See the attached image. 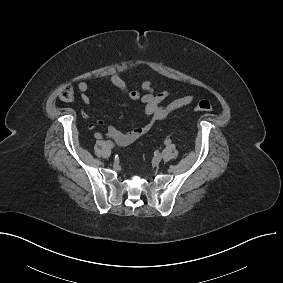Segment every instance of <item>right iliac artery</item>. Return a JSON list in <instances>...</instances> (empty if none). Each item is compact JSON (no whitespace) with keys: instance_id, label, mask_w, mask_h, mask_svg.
Returning <instances> with one entry per match:
<instances>
[{"instance_id":"obj_1","label":"right iliac artery","mask_w":283,"mask_h":283,"mask_svg":"<svg viewBox=\"0 0 283 283\" xmlns=\"http://www.w3.org/2000/svg\"><path fill=\"white\" fill-rule=\"evenodd\" d=\"M95 137H96V138H101L102 136H101V134L96 133V134H95Z\"/></svg>"}]
</instances>
